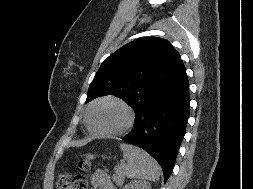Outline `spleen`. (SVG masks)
<instances>
[{
    "mask_svg": "<svg viewBox=\"0 0 253 189\" xmlns=\"http://www.w3.org/2000/svg\"><path fill=\"white\" fill-rule=\"evenodd\" d=\"M123 158L127 164L123 167L124 174L128 178L158 181L161 168L158 163L143 149L131 145L120 144Z\"/></svg>",
    "mask_w": 253,
    "mask_h": 189,
    "instance_id": "3e777b00",
    "label": "spleen"
}]
</instances>
